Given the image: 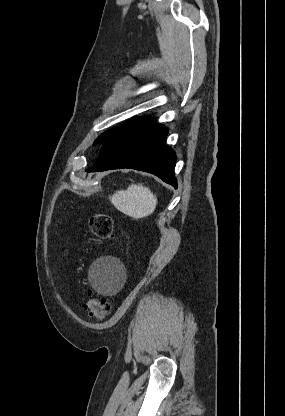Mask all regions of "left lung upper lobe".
Instances as JSON below:
<instances>
[{
	"label": "left lung upper lobe",
	"instance_id": "5c2ea615",
	"mask_svg": "<svg viewBox=\"0 0 285 416\" xmlns=\"http://www.w3.org/2000/svg\"><path fill=\"white\" fill-rule=\"evenodd\" d=\"M134 121V120H132ZM131 121V122H132ZM130 122H126L122 125H120L119 127H116L114 129H111L109 131H106L104 133H102L94 142V144H99V143H104L111 135H113L117 130H119L121 127L125 126L126 124H128Z\"/></svg>",
	"mask_w": 285,
	"mask_h": 416
}]
</instances>
